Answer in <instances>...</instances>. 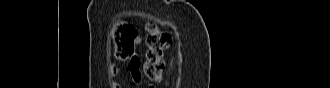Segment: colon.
I'll return each instance as SVG.
<instances>
[{
    "mask_svg": "<svg viewBox=\"0 0 330 88\" xmlns=\"http://www.w3.org/2000/svg\"><path fill=\"white\" fill-rule=\"evenodd\" d=\"M137 36L136 30L126 24H117L112 31L115 55L122 60L132 61V66H136L134 55V41ZM171 37L168 32L160 30L154 23L147 26L145 37L146 54L143 63V75L152 82H159L163 77L164 59L163 53L169 47Z\"/></svg>",
    "mask_w": 330,
    "mask_h": 88,
    "instance_id": "colon-1",
    "label": "colon"
}]
</instances>
